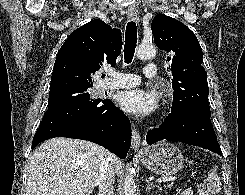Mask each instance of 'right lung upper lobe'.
<instances>
[{"instance_id":"cb5924a9","label":"right lung upper lobe","mask_w":245,"mask_h":195,"mask_svg":"<svg viewBox=\"0 0 245 195\" xmlns=\"http://www.w3.org/2000/svg\"><path fill=\"white\" fill-rule=\"evenodd\" d=\"M121 47V31L102 20H92L74 30L57 54L49 94L92 87V75L103 65L114 67Z\"/></svg>"}]
</instances>
